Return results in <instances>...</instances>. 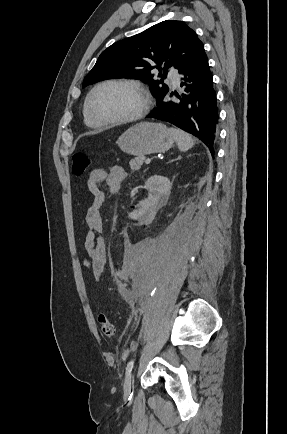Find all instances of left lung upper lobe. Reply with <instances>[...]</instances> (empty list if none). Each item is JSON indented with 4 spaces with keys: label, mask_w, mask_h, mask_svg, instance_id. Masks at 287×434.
Instances as JSON below:
<instances>
[{
    "label": "left lung upper lobe",
    "mask_w": 287,
    "mask_h": 434,
    "mask_svg": "<svg viewBox=\"0 0 287 434\" xmlns=\"http://www.w3.org/2000/svg\"><path fill=\"white\" fill-rule=\"evenodd\" d=\"M203 53L204 46L191 28L181 21L166 20L103 51L84 78L83 87L111 78L142 79L151 86L158 102L169 88L163 80L153 79L152 64L161 71L159 76L166 78L169 67L179 71ZM162 65L165 66L163 71Z\"/></svg>",
    "instance_id": "obj_1"
}]
</instances>
